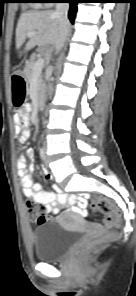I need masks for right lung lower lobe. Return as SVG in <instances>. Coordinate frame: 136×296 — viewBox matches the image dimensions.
Listing matches in <instances>:
<instances>
[{
  "label": "right lung lower lobe",
  "instance_id": "98d812e1",
  "mask_svg": "<svg viewBox=\"0 0 136 296\" xmlns=\"http://www.w3.org/2000/svg\"><path fill=\"white\" fill-rule=\"evenodd\" d=\"M68 3H70V9H69V19L70 21L73 23L74 22V18H75V14L77 12V3L80 2V0H65Z\"/></svg>",
  "mask_w": 136,
  "mask_h": 296
}]
</instances>
